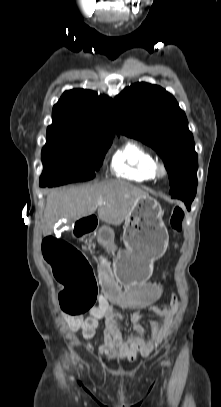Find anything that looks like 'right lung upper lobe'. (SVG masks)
Returning a JSON list of instances; mask_svg holds the SVG:
<instances>
[{
  "label": "right lung upper lobe",
  "mask_w": 221,
  "mask_h": 407,
  "mask_svg": "<svg viewBox=\"0 0 221 407\" xmlns=\"http://www.w3.org/2000/svg\"><path fill=\"white\" fill-rule=\"evenodd\" d=\"M47 137H66L93 142H112L113 104L109 97L73 89L64 92L53 107Z\"/></svg>",
  "instance_id": "obj_1"
}]
</instances>
